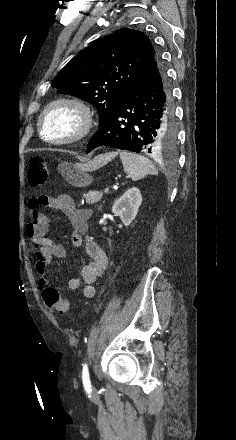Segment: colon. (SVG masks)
Returning a JSON list of instances; mask_svg holds the SVG:
<instances>
[{
	"label": "colon",
	"mask_w": 236,
	"mask_h": 440,
	"mask_svg": "<svg viewBox=\"0 0 236 440\" xmlns=\"http://www.w3.org/2000/svg\"><path fill=\"white\" fill-rule=\"evenodd\" d=\"M49 167L45 157L35 156L31 159L28 170V182L31 187H39L46 183ZM45 304L60 314H68L70 306L67 299L62 298L54 287H45L42 292Z\"/></svg>",
	"instance_id": "1"
}]
</instances>
